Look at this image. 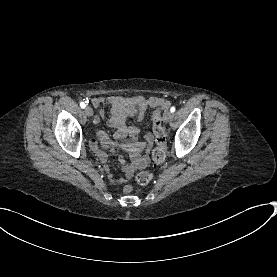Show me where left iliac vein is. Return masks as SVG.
<instances>
[{
	"instance_id": "1",
	"label": "left iliac vein",
	"mask_w": 277,
	"mask_h": 277,
	"mask_svg": "<svg viewBox=\"0 0 277 277\" xmlns=\"http://www.w3.org/2000/svg\"><path fill=\"white\" fill-rule=\"evenodd\" d=\"M172 112L171 111H167V112H165V114H164V122H166V123H168V122H170V120L172 119Z\"/></svg>"
}]
</instances>
